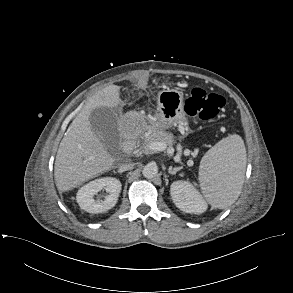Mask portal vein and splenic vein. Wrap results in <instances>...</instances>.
<instances>
[{
    "label": "portal vein and splenic vein",
    "mask_w": 293,
    "mask_h": 293,
    "mask_svg": "<svg viewBox=\"0 0 293 293\" xmlns=\"http://www.w3.org/2000/svg\"><path fill=\"white\" fill-rule=\"evenodd\" d=\"M149 148L154 151H164L167 148V145L163 142L155 141L149 144ZM192 155L196 156L197 153L193 152Z\"/></svg>",
    "instance_id": "obj_1"
}]
</instances>
